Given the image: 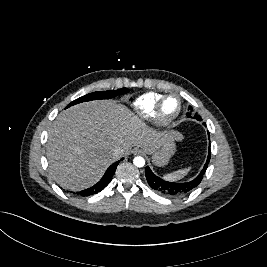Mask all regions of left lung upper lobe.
Masks as SVG:
<instances>
[{"label":"left lung upper lobe","mask_w":267,"mask_h":267,"mask_svg":"<svg viewBox=\"0 0 267 267\" xmlns=\"http://www.w3.org/2000/svg\"><path fill=\"white\" fill-rule=\"evenodd\" d=\"M188 117H191L190 114H187Z\"/></svg>","instance_id":"obj_1"}]
</instances>
